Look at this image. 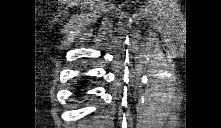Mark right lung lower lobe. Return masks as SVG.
<instances>
[{
	"mask_svg": "<svg viewBox=\"0 0 221 128\" xmlns=\"http://www.w3.org/2000/svg\"><path fill=\"white\" fill-rule=\"evenodd\" d=\"M84 85H85V83H82V86H84ZM80 88H81V87L79 86L78 89H80ZM78 93H80V91H78Z\"/></svg>",
	"mask_w": 221,
	"mask_h": 128,
	"instance_id": "98d812e1",
	"label": "right lung lower lobe"
}]
</instances>
